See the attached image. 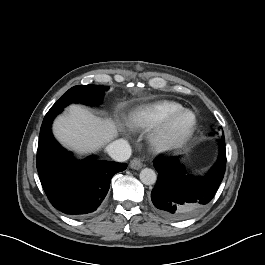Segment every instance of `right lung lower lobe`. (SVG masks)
Listing matches in <instances>:
<instances>
[{"mask_svg": "<svg viewBox=\"0 0 265 265\" xmlns=\"http://www.w3.org/2000/svg\"><path fill=\"white\" fill-rule=\"evenodd\" d=\"M63 109H50L44 117L37 151V170L51 204L61 212L84 217L104 200L111 178L126 163L98 161L94 156L76 161L54 139L51 124Z\"/></svg>", "mask_w": 265, "mask_h": 265, "instance_id": "right-lung-lower-lobe-1", "label": "right lung lower lobe"}]
</instances>
